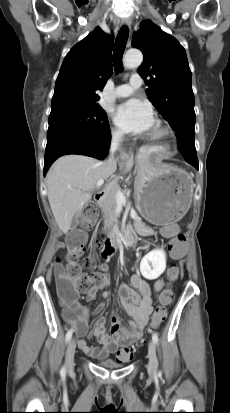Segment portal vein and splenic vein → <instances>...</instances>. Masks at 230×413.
<instances>
[{"mask_svg": "<svg viewBox=\"0 0 230 413\" xmlns=\"http://www.w3.org/2000/svg\"><path fill=\"white\" fill-rule=\"evenodd\" d=\"M103 183H104V180H103V179H100V180H98V182L96 183V186H97V187H100V186L103 185ZM116 203H117V204H120V205L126 204V197L124 196V194H123L121 191H117V192H116ZM132 215H133V217H135V218L137 217L135 213L132 214ZM135 218H134V219H135Z\"/></svg>", "mask_w": 230, "mask_h": 413, "instance_id": "1", "label": "portal vein and splenic vein"}]
</instances>
